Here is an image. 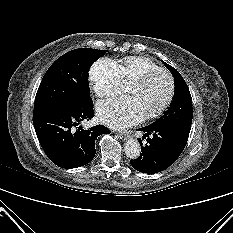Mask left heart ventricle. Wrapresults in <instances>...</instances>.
Masks as SVG:
<instances>
[{
	"label": "left heart ventricle",
	"instance_id": "b2bd125f",
	"mask_svg": "<svg viewBox=\"0 0 233 233\" xmlns=\"http://www.w3.org/2000/svg\"><path fill=\"white\" fill-rule=\"evenodd\" d=\"M168 91V79L162 73L154 75L144 84L131 82L128 88V93L139 99L145 113L157 109L165 101Z\"/></svg>",
	"mask_w": 233,
	"mask_h": 233
}]
</instances>
